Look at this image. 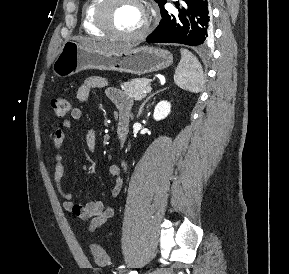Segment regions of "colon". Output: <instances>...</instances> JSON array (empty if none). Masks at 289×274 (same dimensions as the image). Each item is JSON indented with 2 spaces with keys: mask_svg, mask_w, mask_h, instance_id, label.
Returning <instances> with one entry per match:
<instances>
[{
  "mask_svg": "<svg viewBox=\"0 0 289 274\" xmlns=\"http://www.w3.org/2000/svg\"><path fill=\"white\" fill-rule=\"evenodd\" d=\"M51 108L57 117H63L68 114L71 108L70 101L65 97H56L51 100ZM94 261L99 265H106L109 261L107 253L98 245L93 244L90 247Z\"/></svg>",
  "mask_w": 289,
  "mask_h": 274,
  "instance_id": "1",
  "label": "colon"
}]
</instances>
